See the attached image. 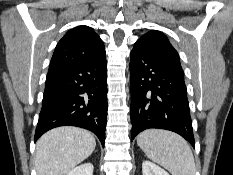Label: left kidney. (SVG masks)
<instances>
[{
	"label": "left kidney",
	"instance_id": "5707ae66",
	"mask_svg": "<svg viewBox=\"0 0 233 175\" xmlns=\"http://www.w3.org/2000/svg\"><path fill=\"white\" fill-rule=\"evenodd\" d=\"M142 173L143 175H169L163 168L150 161H144L142 163Z\"/></svg>",
	"mask_w": 233,
	"mask_h": 175
}]
</instances>
